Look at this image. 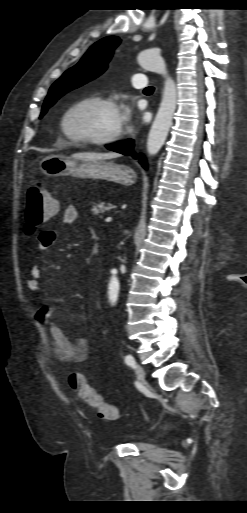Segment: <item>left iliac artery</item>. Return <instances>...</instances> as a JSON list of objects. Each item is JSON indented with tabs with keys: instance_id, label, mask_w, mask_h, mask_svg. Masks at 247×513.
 Returning <instances> with one entry per match:
<instances>
[{
	"instance_id": "1",
	"label": "left iliac artery",
	"mask_w": 247,
	"mask_h": 513,
	"mask_svg": "<svg viewBox=\"0 0 247 513\" xmlns=\"http://www.w3.org/2000/svg\"><path fill=\"white\" fill-rule=\"evenodd\" d=\"M125 362L129 365V366H132V367H135V360L133 358L132 355L128 354L126 355L125 357Z\"/></svg>"
}]
</instances>
